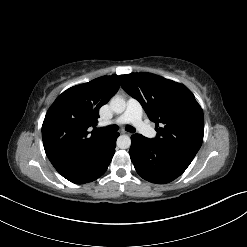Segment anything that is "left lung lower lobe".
Masks as SVG:
<instances>
[{
	"mask_svg": "<svg viewBox=\"0 0 247 247\" xmlns=\"http://www.w3.org/2000/svg\"><path fill=\"white\" fill-rule=\"evenodd\" d=\"M131 141V161L137 173L152 183L164 184L173 181L192 161L163 149L153 139L140 134H134Z\"/></svg>",
	"mask_w": 247,
	"mask_h": 247,
	"instance_id": "1",
	"label": "left lung lower lobe"
}]
</instances>
